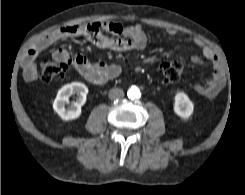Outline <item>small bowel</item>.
I'll return each instance as SVG.
<instances>
[{
    "mask_svg": "<svg viewBox=\"0 0 245 195\" xmlns=\"http://www.w3.org/2000/svg\"><path fill=\"white\" fill-rule=\"evenodd\" d=\"M168 33L174 35L176 31L170 29ZM71 37H83L98 47L117 51L142 50L147 42L146 34L140 25L123 26L114 22L65 25L42 36L27 51L22 62L25 79L34 81L37 78L35 59L40 52L61 39ZM192 41L201 49L203 58L192 55L188 56V59L194 64L209 62L213 71L210 78L195 85V91L204 97H215L224 87L226 81L222 64L215 52L201 38L193 37ZM54 56L61 60H69L68 52L62 48L56 50ZM73 65L79 75L95 85L114 79L121 73V67L117 64L92 63L83 55L75 56Z\"/></svg>",
    "mask_w": 245,
    "mask_h": 195,
    "instance_id": "c3829d8e",
    "label": "small bowel"
}]
</instances>
